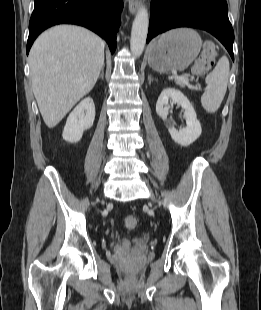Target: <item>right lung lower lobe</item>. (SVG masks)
<instances>
[{
	"mask_svg": "<svg viewBox=\"0 0 261 310\" xmlns=\"http://www.w3.org/2000/svg\"><path fill=\"white\" fill-rule=\"evenodd\" d=\"M27 54L36 37L48 27L68 23L84 26L108 43L114 53L121 24L122 0H34Z\"/></svg>",
	"mask_w": 261,
	"mask_h": 310,
	"instance_id": "right-lung-lower-lobe-1",
	"label": "right lung lower lobe"
}]
</instances>
